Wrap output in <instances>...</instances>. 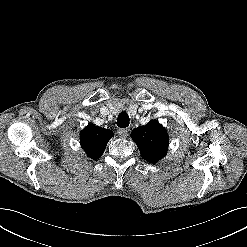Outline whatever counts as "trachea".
Returning <instances> with one entry per match:
<instances>
[{
  "instance_id": "obj_1",
  "label": "trachea",
  "mask_w": 247,
  "mask_h": 247,
  "mask_svg": "<svg viewBox=\"0 0 247 247\" xmlns=\"http://www.w3.org/2000/svg\"><path fill=\"white\" fill-rule=\"evenodd\" d=\"M117 126L120 128H126L129 126V116L126 112H121L118 115Z\"/></svg>"
}]
</instances>
